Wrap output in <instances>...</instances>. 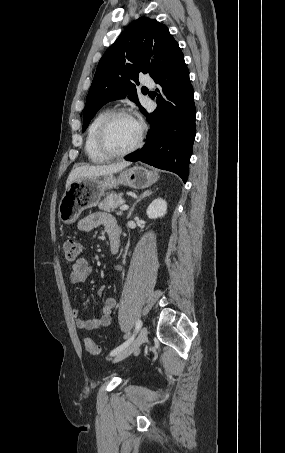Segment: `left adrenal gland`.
<instances>
[{"label":"left adrenal gland","instance_id":"left-adrenal-gland-1","mask_svg":"<svg viewBox=\"0 0 285 453\" xmlns=\"http://www.w3.org/2000/svg\"><path fill=\"white\" fill-rule=\"evenodd\" d=\"M153 192L151 190H146L144 191L140 196L139 198L134 202L133 206L131 207L129 213H128V216H127V219H129L135 209V206L137 203H139L141 200H143L144 198L150 196Z\"/></svg>","mask_w":285,"mask_h":453}]
</instances>
